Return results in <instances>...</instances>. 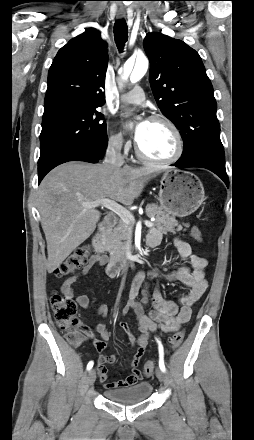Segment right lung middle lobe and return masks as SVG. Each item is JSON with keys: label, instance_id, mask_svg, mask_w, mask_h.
I'll return each instance as SVG.
<instances>
[{"label": "right lung middle lobe", "instance_id": "obj_1", "mask_svg": "<svg viewBox=\"0 0 254 440\" xmlns=\"http://www.w3.org/2000/svg\"><path fill=\"white\" fill-rule=\"evenodd\" d=\"M97 108L71 101L44 107L38 173L74 150L106 141V122Z\"/></svg>", "mask_w": 254, "mask_h": 440}]
</instances>
